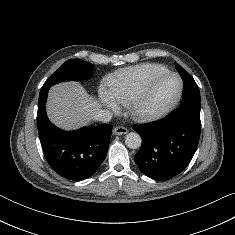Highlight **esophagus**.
Instances as JSON below:
<instances>
[{
  "instance_id": "34e87169",
  "label": "esophagus",
  "mask_w": 235,
  "mask_h": 235,
  "mask_svg": "<svg viewBox=\"0 0 235 235\" xmlns=\"http://www.w3.org/2000/svg\"><path fill=\"white\" fill-rule=\"evenodd\" d=\"M128 133V129L124 126H117L113 129V134L114 135H123Z\"/></svg>"
}]
</instances>
